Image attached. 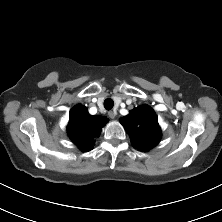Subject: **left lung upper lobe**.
Returning a JSON list of instances; mask_svg holds the SVG:
<instances>
[{
	"mask_svg": "<svg viewBox=\"0 0 222 222\" xmlns=\"http://www.w3.org/2000/svg\"><path fill=\"white\" fill-rule=\"evenodd\" d=\"M120 122L131 137L132 145L140 151L150 150L161 139L157 116L148 105L134 108Z\"/></svg>",
	"mask_w": 222,
	"mask_h": 222,
	"instance_id": "1",
	"label": "left lung upper lobe"
}]
</instances>
